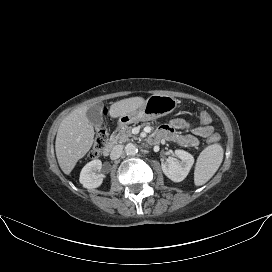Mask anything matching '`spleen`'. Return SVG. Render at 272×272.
I'll list each match as a JSON object with an SVG mask.
<instances>
[{"label": "spleen", "mask_w": 272, "mask_h": 272, "mask_svg": "<svg viewBox=\"0 0 272 272\" xmlns=\"http://www.w3.org/2000/svg\"><path fill=\"white\" fill-rule=\"evenodd\" d=\"M223 160V148L220 144L206 147L199 155L194 171L195 185L205 184L218 170Z\"/></svg>", "instance_id": "obj_1"}]
</instances>
